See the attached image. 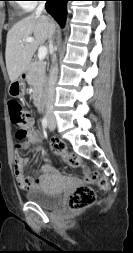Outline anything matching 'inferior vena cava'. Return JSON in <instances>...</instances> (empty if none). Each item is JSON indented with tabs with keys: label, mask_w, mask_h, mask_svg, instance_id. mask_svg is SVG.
Here are the masks:
<instances>
[{
	"label": "inferior vena cava",
	"mask_w": 133,
	"mask_h": 253,
	"mask_svg": "<svg viewBox=\"0 0 133 253\" xmlns=\"http://www.w3.org/2000/svg\"><path fill=\"white\" fill-rule=\"evenodd\" d=\"M43 11H45V1H40L35 13L39 15ZM53 32H54V28H51L50 34H49L50 45H52L51 37L53 35ZM57 75H58V67L56 64V57L53 55L52 66L49 72V80H48V87H47V103H46V115L48 119H51V120L55 119L53 102H54V97H55V84L57 82Z\"/></svg>",
	"instance_id": "inferior-vena-cava-1"
}]
</instances>
